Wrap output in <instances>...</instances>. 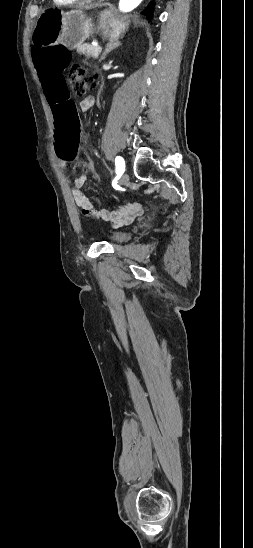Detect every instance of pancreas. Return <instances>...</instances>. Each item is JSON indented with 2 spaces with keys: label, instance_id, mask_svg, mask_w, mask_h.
<instances>
[{
  "label": "pancreas",
  "instance_id": "cf45deb5",
  "mask_svg": "<svg viewBox=\"0 0 253 548\" xmlns=\"http://www.w3.org/2000/svg\"><path fill=\"white\" fill-rule=\"evenodd\" d=\"M77 52L94 59H97L100 54V51L97 50V46L94 45H80L77 47Z\"/></svg>",
  "mask_w": 253,
  "mask_h": 548
}]
</instances>
